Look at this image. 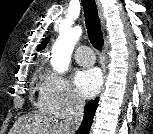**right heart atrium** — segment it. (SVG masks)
<instances>
[{
  "instance_id": "d8ad5b80",
  "label": "right heart atrium",
  "mask_w": 153,
  "mask_h": 134,
  "mask_svg": "<svg viewBox=\"0 0 153 134\" xmlns=\"http://www.w3.org/2000/svg\"><path fill=\"white\" fill-rule=\"evenodd\" d=\"M38 105L44 112L65 118L80 112L84 101L66 78L48 71L41 80Z\"/></svg>"
}]
</instances>
